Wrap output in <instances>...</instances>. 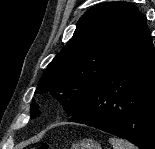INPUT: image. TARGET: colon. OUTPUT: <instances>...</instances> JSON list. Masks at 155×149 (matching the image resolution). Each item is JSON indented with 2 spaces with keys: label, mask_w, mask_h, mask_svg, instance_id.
Wrapping results in <instances>:
<instances>
[{
  "label": "colon",
  "mask_w": 155,
  "mask_h": 149,
  "mask_svg": "<svg viewBox=\"0 0 155 149\" xmlns=\"http://www.w3.org/2000/svg\"><path fill=\"white\" fill-rule=\"evenodd\" d=\"M35 149H50V145L48 143L43 142L37 145Z\"/></svg>",
  "instance_id": "colon-1"
}]
</instances>
